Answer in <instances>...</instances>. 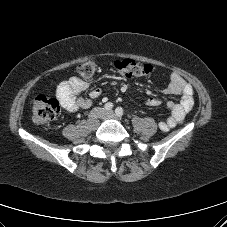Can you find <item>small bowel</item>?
<instances>
[{"label": "small bowel", "instance_id": "c3829d8e", "mask_svg": "<svg viewBox=\"0 0 227 227\" xmlns=\"http://www.w3.org/2000/svg\"><path fill=\"white\" fill-rule=\"evenodd\" d=\"M88 88V83L77 78L71 77L69 80L60 83L56 89L57 98L61 106L70 113H76L81 109H87L92 105V101L101 95V90L95 88L90 91L88 96L83 92ZM167 94L180 95V101L169 100L167 107L171 114L166 121L160 123V129L164 132L181 124L188 112L191 111L194 99L192 86L178 73H173L166 89ZM160 104V99L152 96L146 100V106L155 107Z\"/></svg>", "mask_w": 227, "mask_h": 227}]
</instances>
